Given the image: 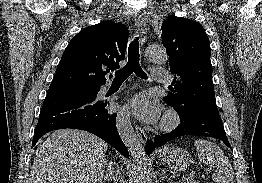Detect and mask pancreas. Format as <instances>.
<instances>
[{
    "instance_id": "cf45deb5",
    "label": "pancreas",
    "mask_w": 262,
    "mask_h": 183,
    "mask_svg": "<svg viewBox=\"0 0 262 183\" xmlns=\"http://www.w3.org/2000/svg\"><path fill=\"white\" fill-rule=\"evenodd\" d=\"M184 183H198L196 180H194L192 177L188 178V180L184 181Z\"/></svg>"
}]
</instances>
